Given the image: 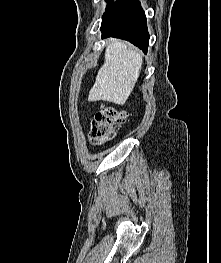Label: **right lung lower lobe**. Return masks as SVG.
<instances>
[{
    "label": "right lung lower lobe",
    "mask_w": 221,
    "mask_h": 263,
    "mask_svg": "<svg viewBox=\"0 0 221 263\" xmlns=\"http://www.w3.org/2000/svg\"><path fill=\"white\" fill-rule=\"evenodd\" d=\"M101 31L102 38L111 36L128 40L147 52L149 34L145 13L138 0L112 2L102 17Z\"/></svg>",
    "instance_id": "98d812e1"
}]
</instances>
